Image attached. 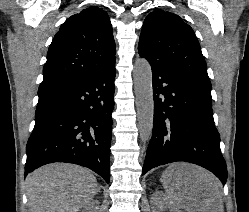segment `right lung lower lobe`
<instances>
[{
  "mask_svg": "<svg viewBox=\"0 0 249 212\" xmlns=\"http://www.w3.org/2000/svg\"><path fill=\"white\" fill-rule=\"evenodd\" d=\"M115 63L98 74L39 92L25 176L53 162L90 168L110 181Z\"/></svg>",
  "mask_w": 249,
  "mask_h": 212,
  "instance_id": "98d812e1",
  "label": "right lung lower lobe"
}]
</instances>
